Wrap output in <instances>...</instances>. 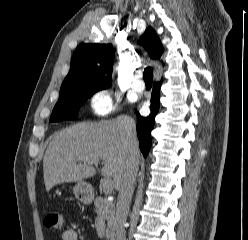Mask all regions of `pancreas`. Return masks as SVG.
Wrapping results in <instances>:
<instances>
[{
  "mask_svg": "<svg viewBox=\"0 0 248 240\" xmlns=\"http://www.w3.org/2000/svg\"><path fill=\"white\" fill-rule=\"evenodd\" d=\"M95 212L99 216H103L107 221L106 238L107 240H114L115 230V206L113 203L107 201L106 198L97 197L94 200Z\"/></svg>",
  "mask_w": 248,
  "mask_h": 240,
  "instance_id": "1",
  "label": "pancreas"
}]
</instances>
